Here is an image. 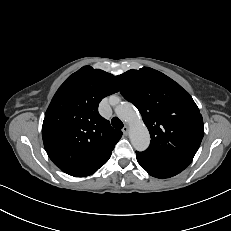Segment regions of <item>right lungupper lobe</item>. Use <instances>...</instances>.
Instances as JSON below:
<instances>
[{
  "label": "right lung upper lobe",
  "mask_w": 231,
  "mask_h": 231,
  "mask_svg": "<svg viewBox=\"0 0 231 231\" xmlns=\"http://www.w3.org/2000/svg\"><path fill=\"white\" fill-rule=\"evenodd\" d=\"M119 88L115 77L84 66L55 93L42 126L45 150L63 172L79 177L111 155L122 132L98 113L100 101Z\"/></svg>",
  "instance_id": "right-lung-upper-lobe-1"
}]
</instances>
